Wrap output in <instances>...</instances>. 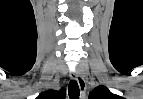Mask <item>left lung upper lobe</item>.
Listing matches in <instances>:
<instances>
[{"instance_id": "left-lung-upper-lobe-1", "label": "left lung upper lobe", "mask_w": 143, "mask_h": 99, "mask_svg": "<svg viewBox=\"0 0 143 99\" xmlns=\"http://www.w3.org/2000/svg\"><path fill=\"white\" fill-rule=\"evenodd\" d=\"M89 99H123L122 97L113 94L103 85L96 87L89 94Z\"/></svg>"}]
</instances>
